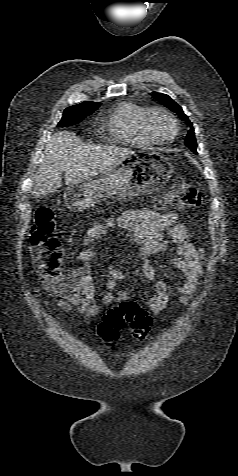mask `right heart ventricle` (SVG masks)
Instances as JSON below:
<instances>
[{
	"label": "right heart ventricle",
	"instance_id": "e07e8e85",
	"mask_svg": "<svg viewBox=\"0 0 238 476\" xmlns=\"http://www.w3.org/2000/svg\"><path fill=\"white\" fill-rule=\"evenodd\" d=\"M146 107L135 102L119 103L110 118L114 138L124 144L146 147L152 144L142 129V116Z\"/></svg>",
	"mask_w": 238,
	"mask_h": 476
}]
</instances>
